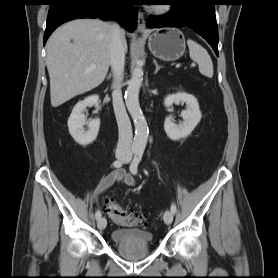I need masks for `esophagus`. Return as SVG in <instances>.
Listing matches in <instances>:
<instances>
[{
    "label": "esophagus",
    "mask_w": 278,
    "mask_h": 278,
    "mask_svg": "<svg viewBox=\"0 0 278 278\" xmlns=\"http://www.w3.org/2000/svg\"><path fill=\"white\" fill-rule=\"evenodd\" d=\"M137 31L141 34L146 33V24H145V18L143 13H138V20H137Z\"/></svg>",
    "instance_id": "obj_1"
}]
</instances>
